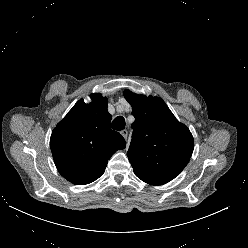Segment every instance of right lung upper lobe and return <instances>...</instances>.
<instances>
[{"label": "right lung upper lobe", "mask_w": 248, "mask_h": 248, "mask_svg": "<svg viewBox=\"0 0 248 248\" xmlns=\"http://www.w3.org/2000/svg\"><path fill=\"white\" fill-rule=\"evenodd\" d=\"M92 102L79 100L54 128L50 148L59 173L71 183L84 185L98 179L108 160L126 142L111 130L108 100L92 94Z\"/></svg>", "instance_id": "cb5924a9"}]
</instances>
